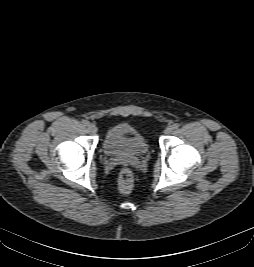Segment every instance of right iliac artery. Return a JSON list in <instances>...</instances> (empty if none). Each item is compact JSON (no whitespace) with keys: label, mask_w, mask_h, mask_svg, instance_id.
Masks as SVG:
<instances>
[{"label":"right iliac artery","mask_w":254,"mask_h":267,"mask_svg":"<svg viewBox=\"0 0 254 267\" xmlns=\"http://www.w3.org/2000/svg\"><path fill=\"white\" fill-rule=\"evenodd\" d=\"M82 124H83L84 126H88L89 122H88L87 120H83V121H82Z\"/></svg>","instance_id":"1"}]
</instances>
